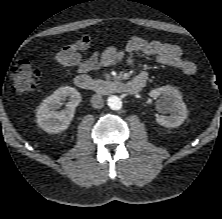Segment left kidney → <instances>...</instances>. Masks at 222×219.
Wrapping results in <instances>:
<instances>
[{"label":"left kidney","mask_w":222,"mask_h":219,"mask_svg":"<svg viewBox=\"0 0 222 219\" xmlns=\"http://www.w3.org/2000/svg\"><path fill=\"white\" fill-rule=\"evenodd\" d=\"M150 96L154 98L161 97L157 104L158 111L170 113V116L156 115L157 123L164 127L175 128L185 121L187 108L178 89L171 86H162L153 89Z\"/></svg>","instance_id":"left-kidney-1"}]
</instances>
